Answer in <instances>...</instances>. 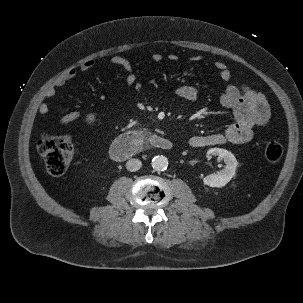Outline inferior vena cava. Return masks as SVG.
I'll return each mask as SVG.
<instances>
[{"instance_id":"obj_1","label":"inferior vena cava","mask_w":303,"mask_h":303,"mask_svg":"<svg viewBox=\"0 0 303 303\" xmlns=\"http://www.w3.org/2000/svg\"><path fill=\"white\" fill-rule=\"evenodd\" d=\"M142 166V162L138 159H130L127 161L126 163V168L127 170L131 171V172H135L137 170H139Z\"/></svg>"}]
</instances>
